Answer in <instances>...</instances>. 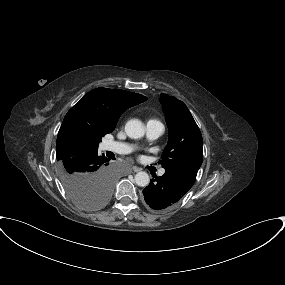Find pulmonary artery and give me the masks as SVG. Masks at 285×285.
<instances>
[{"label": "pulmonary artery", "instance_id": "obj_1", "mask_svg": "<svg viewBox=\"0 0 285 285\" xmlns=\"http://www.w3.org/2000/svg\"><path fill=\"white\" fill-rule=\"evenodd\" d=\"M164 132V126L160 122H153L149 121L147 123V136L150 139H157L162 135ZM103 147L107 151H112L118 154H127L130 153L132 150V147L129 144L122 143V142H116V141H106L103 144ZM165 173L164 169H161L159 171V175H163Z\"/></svg>", "mask_w": 285, "mask_h": 285}]
</instances>
